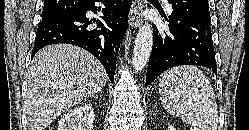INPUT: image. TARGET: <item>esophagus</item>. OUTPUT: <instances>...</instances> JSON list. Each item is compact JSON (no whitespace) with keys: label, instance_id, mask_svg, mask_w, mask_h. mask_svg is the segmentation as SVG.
<instances>
[{"label":"esophagus","instance_id":"1","mask_svg":"<svg viewBox=\"0 0 249 130\" xmlns=\"http://www.w3.org/2000/svg\"><path fill=\"white\" fill-rule=\"evenodd\" d=\"M144 7V0H133L129 12L128 23L131 28H137L140 25V14Z\"/></svg>","mask_w":249,"mask_h":130}]
</instances>
